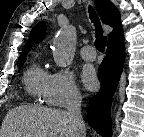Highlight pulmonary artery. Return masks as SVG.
Wrapping results in <instances>:
<instances>
[{
    "label": "pulmonary artery",
    "instance_id": "pulmonary-artery-1",
    "mask_svg": "<svg viewBox=\"0 0 144 137\" xmlns=\"http://www.w3.org/2000/svg\"><path fill=\"white\" fill-rule=\"evenodd\" d=\"M81 57L86 61H94L96 59V51L91 45H85L80 50Z\"/></svg>",
    "mask_w": 144,
    "mask_h": 137
}]
</instances>
